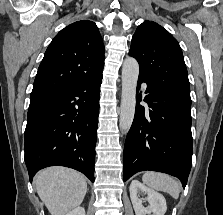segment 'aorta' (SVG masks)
<instances>
[{
  "instance_id": "1",
  "label": "aorta",
  "mask_w": 223,
  "mask_h": 215,
  "mask_svg": "<svg viewBox=\"0 0 223 215\" xmlns=\"http://www.w3.org/2000/svg\"><path fill=\"white\" fill-rule=\"evenodd\" d=\"M139 76V64L134 58L126 56L122 66V96L120 106V129L127 133L134 119L136 106V86Z\"/></svg>"
}]
</instances>
